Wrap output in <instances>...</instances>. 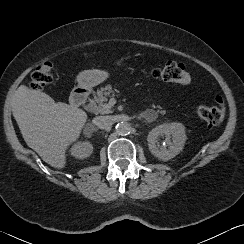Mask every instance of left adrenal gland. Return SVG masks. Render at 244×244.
Here are the masks:
<instances>
[{
  "mask_svg": "<svg viewBox=\"0 0 244 244\" xmlns=\"http://www.w3.org/2000/svg\"><path fill=\"white\" fill-rule=\"evenodd\" d=\"M144 117H145V116H144L143 114H140V115L137 116V118H138L139 120H142Z\"/></svg>",
  "mask_w": 244,
  "mask_h": 244,
  "instance_id": "obj_1",
  "label": "left adrenal gland"
}]
</instances>
